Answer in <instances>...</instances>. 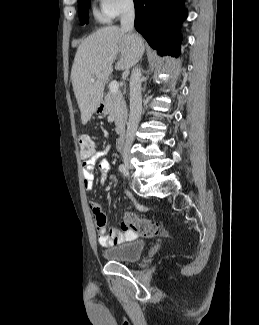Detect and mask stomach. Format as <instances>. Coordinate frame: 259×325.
Masks as SVG:
<instances>
[{"label": "stomach", "instance_id": "stomach-1", "mask_svg": "<svg viewBox=\"0 0 259 325\" xmlns=\"http://www.w3.org/2000/svg\"><path fill=\"white\" fill-rule=\"evenodd\" d=\"M95 113L98 115H103L106 113V105L103 101H101L99 105L96 107Z\"/></svg>", "mask_w": 259, "mask_h": 325}]
</instances>
